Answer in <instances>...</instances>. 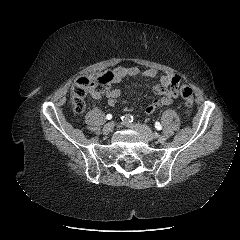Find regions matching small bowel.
Returning a JSON list of instances; mask_svg holds the SVG:
<instances>
[{"label": "small bowel", "mask_w": 240, "mask_h": 240, "mask_svg": "<svg viewBox=\"0 0 240 240\" xmlns=\"http://www.w3.org/2000/svg\"><path fill=\"white\" fill-rule=\"evenodd\" d=\"M112 74V81L108 84L105 95L108 99L109 105L116 104L120 95V90L117 85L128 78H141L149 77L153 78L158 75L157 69L149 68L141 70L138 67H117L110 71ZM181 78L173 73L163 74L159 82L153 87V92L159 96L158 99H154L146 108L147 113H152L162 105L171 104L178 96L177 90L174 88V84L179 85ZM94 98H100V95H92Z\"/></svg>", "instance_id": "1"}]
</instances>
